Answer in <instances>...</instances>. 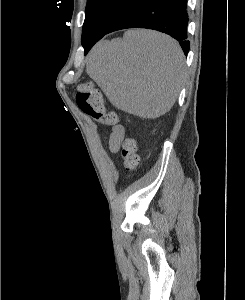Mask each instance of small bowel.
Returning a JSON list of instances; mask_svg holds the SVG:
<instances>
[{"mask_svg": "<svg viewBox=\"0 0 245 300\" xmlns=\"http://www.w3.org/2000/svg\"><path fill=\"white\" fill-rule=\"evenodd\" d=\"M124 136L125 128L121 124L113 125L110 131L106 133L105 140L111 153L119 152Z\"/></svg>", "mask_w": 245, "mask_h": 300, "instance_id": "c3829d8e", "label": "small bowel"}]
</instances>
